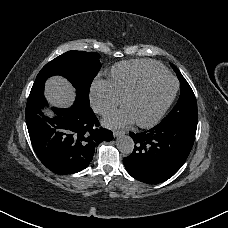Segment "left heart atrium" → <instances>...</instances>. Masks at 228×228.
<instances>
[{"instance_id":"1","label":"left heart atrium","mask_w":228,"mask_h":228,"mask_svg":"<svg viewBox=\"0 0 228 228\" xmlns=\"http://www.w3.org/2000/svg\"><path fill=\"white\" fill-rule=\"evenodd\" d=\"M134 120V115L129 110V108H125L119 111H113L110 115V124L115 126H121L128 124Z\"/></svg>"}]
</instances>
